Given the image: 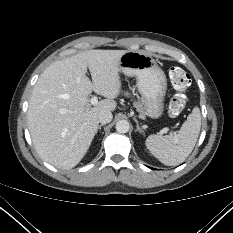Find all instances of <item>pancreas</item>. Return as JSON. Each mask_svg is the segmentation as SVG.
Returning a JSON list of instances; mask_svg holds the SVG:
<instances>
[{
    "label": "pancreas",
    "instance_id": "cf45deb5",
    "mask_svg": "<svg viewBox=\"0 0 233 233\" xmlns=\"http://www.w3.org/2000/svg\"><path fill=\"white\" fill-rule=\"evenodd\" d=\"M125 96H130V93L128 91L124 92ZM139 99V98H138ZM133 105L136 107L137 111L140 113V117L143 118L146 114L144 107H143V100L141 101L140 99L138 101H135Z\"/></svg>",
    "mask_w": 233,
    "mask_h": 233
}]
</instances>
